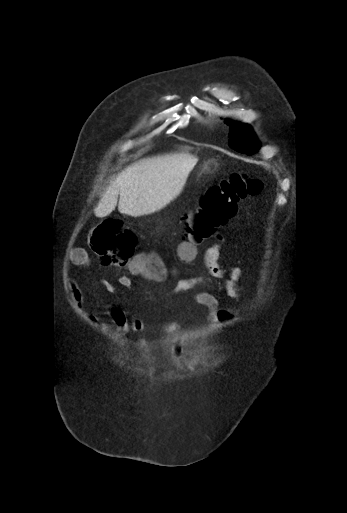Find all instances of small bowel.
<instances>
[{"label":"small bowel","instance_id":"small-bowel-1","mask_svg":"<svg viewBox=\"0 0 347 513\" xmlns=\"http://www.w3.org/2000/svg\"><path fill=\"white\" fill-rule=\"evenodd\" d=\"M214 241V244L211 245L204 254V267L208 275L178 279L172 290L174 294L194 291L195 303L206 310L207 320L212 324L230 320L234 315L232 311L222 309L217 297L202 288L214 286L222 290L229 298L242 302L244 300L242 282L245 276L243 269L240 267L222 266L218 263L220 252L225 241L224 235L217 233L214 237ZM69 260L70 263L82 267H86L89 264V257L82 249L74 250ZM119 283L129 288L131 286V279L129 276L123 275L119 278ZM103 287L109 293L115 292V288L110 284H103ZM68 289L72 301L78 307H81L84 301L83 292L73 279L69 280ZM103 314L116 327L119 335L125 336L130 333L145 334L151 330L142 318H128L127 314L118 308L109 307ZM89 318L99 325H103L105 322L104 318L99 314H89ZM179 328L180 324L175 320L163 322L156 327L157 330L165 333L178 331ZM181 349L180 343L176 342L170 351V356L177 358L181 353Z\"/></svg>","mask_w":347,"mask_h":513}]
</instances>
